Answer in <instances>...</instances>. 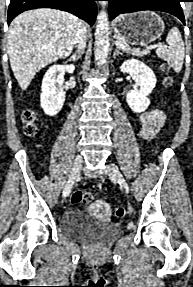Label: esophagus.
Returning <instances> with one entry per match:
<instances>
[{"mask_svg":"<svg viewBox=\"0 0 193 287\" xmlns=\"http://www.w3.org/2000/svg\"><path fill=\"white\" fill-rule=\"evenodd\" d=\"M100 2H101L102 5H105L107 1L101 0Z\"/></svg>","mask_w":193,"mask_h":287,"instance_id":"obj_1","label":"esophagus"}]
</instances>
